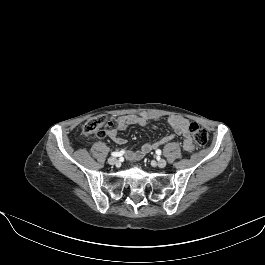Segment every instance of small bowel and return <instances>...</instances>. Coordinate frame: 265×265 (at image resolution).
<instances>
[{
  "label": "small bowel",
  "mask_w": 265,
  "mask_h": 265,
  "mask_svg": "<svg viewBox=\"0 0 265 265\" xmlns=\"http://www.w3.org/2000/svg\"><path fill=\"white\" fill-rule=\"evenodd\" d=\"M158 119L159 117L157 115L146 113V112L122 115V116H119L113 122V125L106 131V135L113 142L119 145H123L126 143V140L123 137L119 136V132L127 129L130 126L147 127L148 125L156 122ZM167 122H168L169 127L173 131V133L182 138L183 148L188 152L193 151L195 148V145H194L191 133L188 129L189 121L183 116L172 115L168 118ZM172 138H173V134L166 135L154 142L144 143L139 150H136V151L125 150L123 151V154L128 159L140 160L151 150L163 144L169 143L172 140Z\"/></svg>",
  "instance_id": "small-bowel-1"
}]
</instances>
